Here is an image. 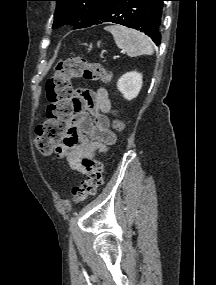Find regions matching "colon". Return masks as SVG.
Listing matches in <instances>:
<instances>
[{
  "label": "colon",
  "mask_w": 216,
  "mask_h": 285,
  "mask_svg": "<svg viewBox=\"0 0 216 285\" xmlns=\"http://www.w3.org/2000/svg\"><path fill=\"white\" fill-rule=\"evenodd\" d=\"M110 81L111 73L98 63H89L81 57L66 59L57 64L54 75L46 82V96L49 101L46 121L36 128L35 144L38 150L49 155L57 149L69 130L70 122L76 111V98L72 79ZM117 131L123 129L119 119L114 122ZM82 164L87 178L72 188L76 203L94 195L103 184V165L94 157H85Z\"/></svg>",
  "instance_id": "obj_1"
}]
</instances>
